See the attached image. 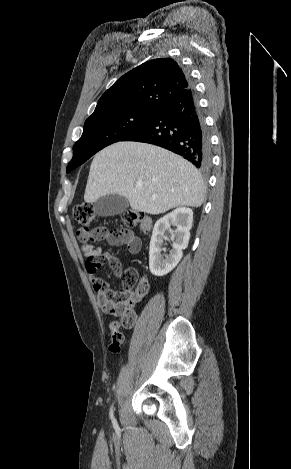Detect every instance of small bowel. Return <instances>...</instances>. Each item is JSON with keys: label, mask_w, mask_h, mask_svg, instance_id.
Wrapping results in <instances>:
<instances>
[{"label": "small bowel", "mask_w": 291, "mask_h": 469, "mask_svg": "<svg viewBox=\"0 0 291 469\" xmlns=\"http://www.w3.org/2000/svg\"><path fill=\"white\" fill-rule=\"evenodd\" d=\"M77 239L80 242L81 253L86 258V268H87V261L90 258H101L103 259L104 263L110 264L115 269L119 268L120 266L119 261L109 251L103 250L101 247H96L93 244H91L90 241L86 238L85 232L83 230L79 229L77 231ZM109 242L114 245L125 244L129 252L131 253H137L139 252L141 248L140 239L132 232H127L122 241H118V242L109 241ZM88 272L91 274V281L93 282L94 286L96 283L106 284L103 280L95 277L93 275L94 272H91L89 270ZM138 288L143 290L145 294L149 288L148 282L145 279H142L139 282ZM96 291H97V301L99 305L101 306L102 310L106 313L112 314L114 303L110 299L109 295L107 293H104L98 290ZM117 292L118 291L110 290L111 294H115Z\"/></svg>", "instance_id": "1"}]
</instances>
